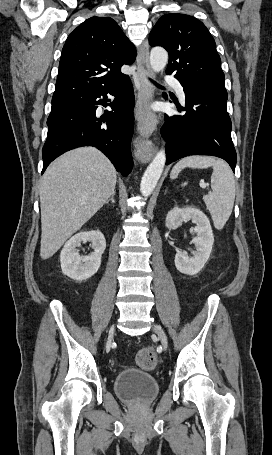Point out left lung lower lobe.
<instances>
[{
  "mask_svg": "<svg viewBox=\"0 0 272 455\" xmlns=\"http://www.w3.org/2000/svg\"><path fill=\"white\" fill-rule=\"evenodd\" d=\"M180 83L186 97L185 108H182L186 114L165 117L161 132L167 142L166 164L190 155H212L227 161L235 172L237 157L231 139L232 125L226 109L228 96L225 87Z\"/></svg>",
  "mask_w": 272,
  "mask_h": 455,
  "instance_id": "0a47b994",
  "label": "left lung lower lobe"
}]
</instances>
